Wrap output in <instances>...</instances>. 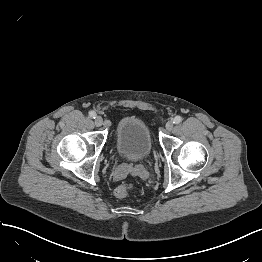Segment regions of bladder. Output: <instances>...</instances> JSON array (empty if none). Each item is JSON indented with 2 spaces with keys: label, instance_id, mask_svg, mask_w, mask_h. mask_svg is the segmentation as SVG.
Returning a JSON list of instances; mask_svg holds the SVG:
<instances>
[{
  "label": "bladder",
  "instance_id": "31cf9c89",
  "mask_svg": "<svg viewBox=\"0 0 262 262\" xmlns=\"http://www.w3.org/2000/svg\"><path fill=\"white\" fill-rule=\"evenodd\" d=\"M116 144L121 156L129 161L144 158L153 148L149 128L136 117L120 120L116 131Z\"/></svg>",
  "mask_w": 262,
  "mask_h": 262
}]
</instances>
